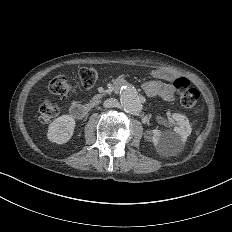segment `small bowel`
Returning a JSON list of instances; mask_svg holds the SVG:
<instances>
[{"label": "small bowel", "mask_w": 232, "mask_h": 232, "mask_svg": "<svg viewBox=\"0 0 232 232\" xmlns=\"http://www.w3.org/2000/svg\"><path fill=\"white\" fill-rule=\"evenodd\" d=\"M144 89L148 95H162L166 100L172 99V87L164 85L156 79L147 80L144 83Z\"/></svg>", "instance_id": "small-bowel-1"}]
</instances>
